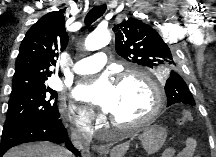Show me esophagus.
Listing matches in <instances>:
<instances>
[{"mask_svg": "<svg viewBox=\"0 0 216 157\" xmlns=\"http://www.w3.org/2000/svg\"><path fill=\"white\" fill-rule=\"evenodd\" d=\"M104 3V0H98L97 1V4L101 5ZM94 150H97V151H102L104 150V146H101V145H93L92 147Z\"/></svg>", "mask_w": 216, "mask_h": 157, "instance_id": "obj_1", "label": "esophagus"}]
</instances>
